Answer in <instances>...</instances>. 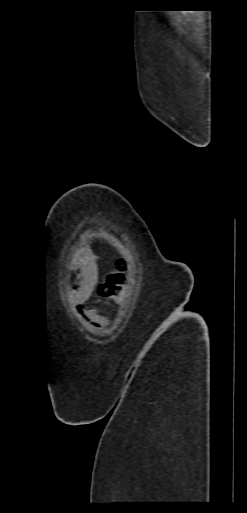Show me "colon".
<instances>
[{
    "label": "colon",
    "mask_w": 247,
    "mask_h": 513,
    "mask_svg": "<svg viewBox=\"0 0 247 513\" xmlns=\"http://www.w3.org/2000/svg\"><path fill=\"white\" fill-rule=\"evenodd\" d=\"M124 283V271L115 269L110 272L103 281L98 285L97 291L99 295L105 298H113L121 293Z\"/></svg>",
    "instance_id": "5ec220e1"
}]
</instances>
